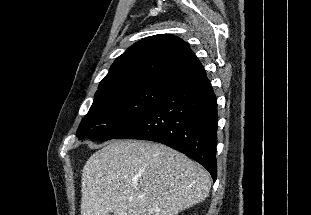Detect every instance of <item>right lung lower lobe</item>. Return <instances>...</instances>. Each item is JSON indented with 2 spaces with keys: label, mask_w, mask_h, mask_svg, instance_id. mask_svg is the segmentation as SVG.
Here are the masks:
<instances>
[{
  "label": "right lung lower lobe",
  "mask_w": 311,
  "mask_h": 215,
  "mask_svg": "<svg viewBox=\"0 0 311 215\" xmlns=\"http://www.w3.org/2000/svg\"><path fill=\"white\" fill-rule=\"evenodd\" d=\"M217 99L203 67L174 80L159 102L115 139L150 140L174 148L217 178Z\"/></svg>",
  "instance_id": "1"
}]
</instances>
